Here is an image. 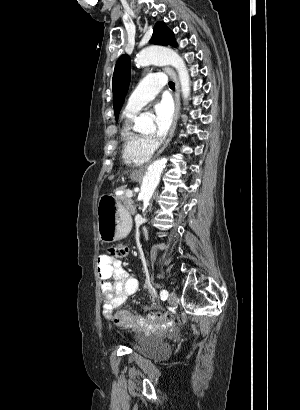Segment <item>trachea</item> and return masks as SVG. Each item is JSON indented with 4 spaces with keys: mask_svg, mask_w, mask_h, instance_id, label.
I'll list each match as a JSON object with an SVG mask.
<instances>
[{
    "mask_svg": "<svg viewBox=\"0 0 300 410\" xmlns=\"http://www.w3.org/2000/svg\"><path fill=\"white\" fill-rule=\"evenodd\" d=\"M169 87L171 88V89H175V84H174V82H172V81H169Z\"/></svg>",
    "mask_w": 300,
    "mask_h": 410,
    "instance_id": "1",
    "label": "trachea"
}]
</instances>
